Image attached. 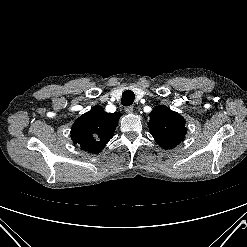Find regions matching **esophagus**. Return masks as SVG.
I'll use <instances>...</instances> for the list:
<instances>
[{
	"instance_id": "1",
	"label": "esophagus",
	"mask_w": 247,
	"mask_h": 247,
	"mask_svg": "<svg viewBox=\"0 0 247 247\" xmlns=\"http://www.w3.org/2000/svg\"><path fill=\"white\" fill-rule=\"evenodd\" d=\"M134 111L133 106H128L125 108V112L128 114H132Z\"/></svg>"
}]
</instances>
